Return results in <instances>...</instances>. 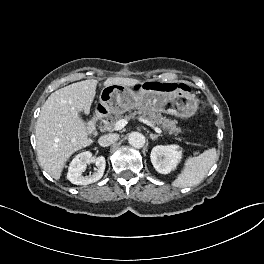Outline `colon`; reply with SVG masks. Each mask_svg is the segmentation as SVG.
<instances>
[{"mask_svg": "<svg viewBox=\"0 0 264 264\" xmlns=\"http://www.w3.org/2000/svg\"><path fill=\"white\" fill-rule=\"evenodd\" d=\"M157 89H160L163 91H171L173 89V86L171 84H163V85H158Z\"/></svg>", "mask_w": 264, "mask_h": 264, "instance_id": "obj_1", "label": "colon"}]
</instances>
